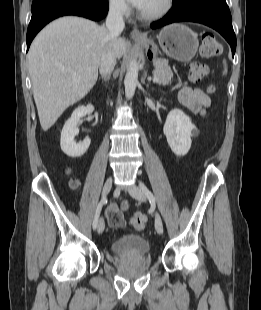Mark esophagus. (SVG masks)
<instances>
[{
	"instance_id": "obj_1",
	"label": "esophagus",
	"mask_w": 261,
	"mask_h": 310,
	"mask_svg": "<svg viewBox=\"0 0 261 310\" xmlns=\"http://www.w3.org/2000/svg\"><path fill=\"white\" fill-rule=\"evenodd\" d=\"M131 36L133 39L135 40H144L146 37L141 33V31L139 29H137L136 27L133 28L132 32H131Z\"/></svg>"
}]
</instances>
